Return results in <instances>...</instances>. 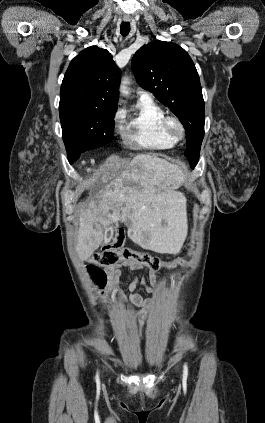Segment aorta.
I'll return each mask as SVG.
<instances>
[{
	"label": "aorta",
	"mask_w": 265,
	"mask_h": 423,
	"mask_svg": "<svg viewBox=\"0 0 265 423\" xmlns=\"http://www.w3.org/2000/svg\"><path fill=\"white\" fill-rule=\"evenodd\" d=\"M127 83H128V81H127V79H125L124 81H122V84H121V87H120L121 92L125 95L128 94L127 87H126Z\"/></svg>",
	"instance_id": "aorta-1"
}]
</instances>
